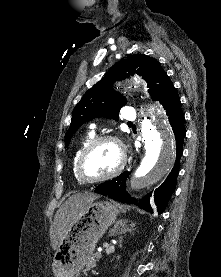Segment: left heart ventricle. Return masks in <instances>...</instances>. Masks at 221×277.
Returning a JSON list of instances; mask_svg holds the SVG:
<instances>
[{
    "label": "left heart ventricle",
    "instance_id": "obj_1",
    "mask_svg": "<svg viewBox=\"0 0 221 277\" xmlns=\"http://www.w3.org/2000/svg\"><path fill=\"white\" fill-rule=\"evenodd\" d=\"M119 163V151L115 144L104 142L94 148L83 162V173L89 178L104 176Z\"/></svg>",
    "mask_w": 221,
    "mask_h": 277
}]
</instances>
